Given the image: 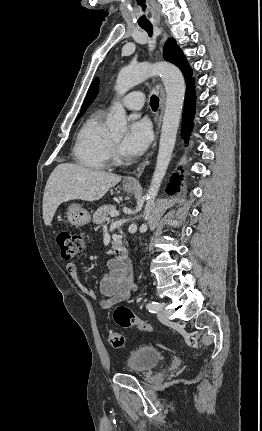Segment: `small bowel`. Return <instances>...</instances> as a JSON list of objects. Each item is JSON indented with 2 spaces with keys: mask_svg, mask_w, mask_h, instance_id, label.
<instances>
[{
  "mask_svg": "<svg viewBox=\"0 0 262 431\" xmlns=\"http://www.w3.org/2000/svg\"><path fill=\"white\" fill-rule=\"evenodd\" d=\"M66 270L80 292L86 297L97 299L99 308L103 310L125 301L135 289L131 265L120 257L108 261L107 270L100 281L99 298L94 290L82 283L74 263L66 264Z\"/></svg>",
  "mask_w": 262,
  "mask_h": 431,
  "instance_id": "c3829d8e",
  "label": "small bowel"
}]
</instances>
